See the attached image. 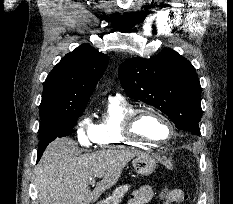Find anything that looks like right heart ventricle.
Returning a JSON list of instances; mask_svg holds the SVG:
<instances>
[{"mask_svg":"<svg viewBox=\"0 0 233 204\" xmlns=\"http://www.w3.org/2000/svg\"><path fill=\"white\" fill-rule=\"evenodd\" d=\"M133 106L120 96L109 97L95 127V143L101 148L124 146L143 148L148 144L130 140L123 133L126 115Z\"/></svg>","mask_w":233,"mask_h":204,"instance_id":"e07e8e85","label":"right heart ventricle"}]
</instances>
